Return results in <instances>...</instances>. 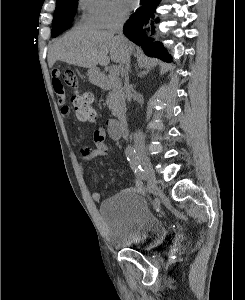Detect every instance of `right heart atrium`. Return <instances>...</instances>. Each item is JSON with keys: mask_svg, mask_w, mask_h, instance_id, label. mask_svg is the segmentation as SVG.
I'll use <instances>...</instances> for the list:
<instances>
[{"mask_svg": "<svg viewBox=\"0 0 245 300\" xmlns=\"http://www.w3.org/2000/svg\"><path fill=\"white\" fill-rule=\"evenodd\" d=\"M122 0H80L84 22L92 27L107 29L123 22L127 11Z\"/></svg>", "mask_w": 245, "mask_h": 300, "instance_id": "obj_1", "label": "right heart atrium"}]
</instances>
